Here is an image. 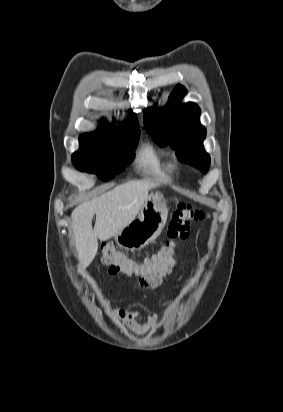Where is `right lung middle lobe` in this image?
<instances>
[{
	"label": "right lung middle lobe",
	"instance_id": "obj_1",
	"mask_svg": "<svg viewBox=\"0 0 283 412\" xmlns=\"http://www.w3.org/2000/svg\"><path fill=\"white\" fill-rule=\"evenodd\" d=\"M139 134L121 138L80 136V149L72 155L74 166L107 181L124 170L134 157Z\"/></svg>",
	"mask_w": 283,
	"mask_h": 412
}]
</instances>
